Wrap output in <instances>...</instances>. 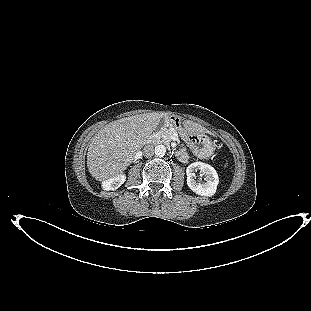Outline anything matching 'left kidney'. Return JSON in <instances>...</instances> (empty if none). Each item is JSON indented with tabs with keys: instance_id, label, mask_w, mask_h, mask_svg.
I'll return each mask as SVG.
<instances>
[{
	"instance_id": "obj_1",
	"label": "left kidney",
	"mask_w": 311,
	"mask_h": 311,
	"mask_svg": "<svg viewBox=\"0 0 311 311\" xmlns=\"http://www.w3.org/2000/svg\"><path fill=\"white\" fill-rule=\"evenodd\" d=\"M199 170L205 182L200 183L194 179V172ZM187 185L198 195L211 197L216 193L219 177L216 170L209 164L194 162L186 169Z\"/></svg>"
}]
</instances>
